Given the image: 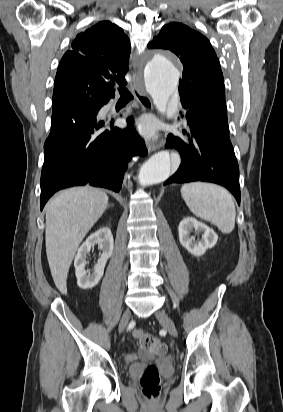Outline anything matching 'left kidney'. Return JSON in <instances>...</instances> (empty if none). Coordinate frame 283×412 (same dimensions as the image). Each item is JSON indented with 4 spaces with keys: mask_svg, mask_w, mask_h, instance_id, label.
<instances>
[{
    "mask_svg": "<svg viewBox=\"0 0 283 412\" xmlns=\"http://www.w3.org/2000/svg\"><path fill=\"white\" fill-rule=\"evenodd\" d=\"M193 229L203 232L202 240L195 241V238L190 236ZM178 232L180 244L197 257L214 247L218 240V235L211 228L192 217H187L180 222Z\"/></svg>",
    "mask_w": 283,
    "mask_h": 412,
    "instance_id": "1",
    "label": "left kidney"
}]
</instances>
